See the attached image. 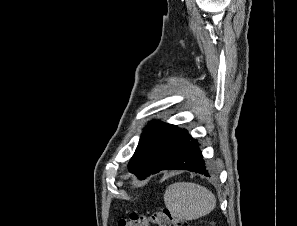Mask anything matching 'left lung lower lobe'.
I'll return each mask as SVG.
<instances>
[{
  "label": "left lung lower lobe",
  "instance_id": "obj_1",
  "mask_svg": "<svg viewBox=\"0 0 297 226\" xmlns=\"http://www.w3.org/2000/svg\"><path fill=\"white\" fill-rule=\"evenodd\" d=\"M188 170L210 176L198 143L185 130L179 129L168 149L146 176L161 170ZM145 176V177H146ZM145 177L141 178L145 179Z\"/></svg>",
  "mask_w": 297,
  "mask_h": 226
}]
</instances>
